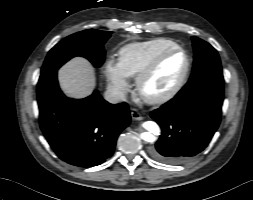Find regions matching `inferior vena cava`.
<instances>
[{"mask_svg": "<svg viewBox=\"0 0 253 200\" xmlns=\"http://www.w3.org/2000/svg\"><path fill=\"white\" fill-rule=\"evenodd\" d=\"M104 98L106 101L112 104L120 103L125 101L126 96L124 92L120 91L117 88H108L104 93Z\"/></svg>", "mask_w": 253, "mask_h": 200, "instance_id": "obj_1", "label": "inferior vena cava"}]
</instances>
